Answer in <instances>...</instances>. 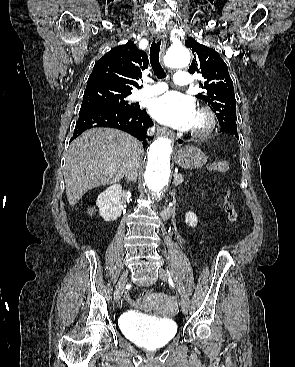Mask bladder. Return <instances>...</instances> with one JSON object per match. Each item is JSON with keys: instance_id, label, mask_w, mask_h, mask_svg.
<instances>
[{"instance_id": "31cf9c89", "label": "bladder", "mask_w": 295, "mask_h": 367, "mask_svg": "<svg viewBox=\"0 0 295 367\" xmlns=\"http://www.w3.org/2000/svg\"><path fill=\"white\" fill-rule=\"evenodd\" d=\"M123 325L125 329H131L130 322H124ZM176 332L177 326L175 322L173 320H168L154 328L151 341L159 345L167 344L176 335Z\"/></svg>"}]
</instances>
